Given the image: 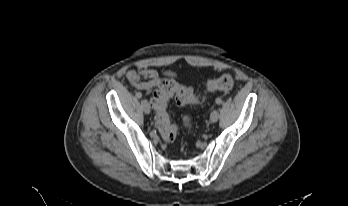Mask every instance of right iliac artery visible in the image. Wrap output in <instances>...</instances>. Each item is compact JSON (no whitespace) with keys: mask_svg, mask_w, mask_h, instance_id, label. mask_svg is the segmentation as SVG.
Here are the masks:
<instances>
[{"mask_svg":"<svg viewBox=\"0 0 348 206\" xmlns=\"http://www.w3.org/2000/svg\"><path fill=\"white\" fill-rule=\"evenodd\" d=\"M136 97H137V98H141V97H142V93L137 92V93H136Z\"/></svg>","mask_w":348,"mask_h":206,"instance_id":"82829eb1","label":"right iliac artery"}]
</instances>
